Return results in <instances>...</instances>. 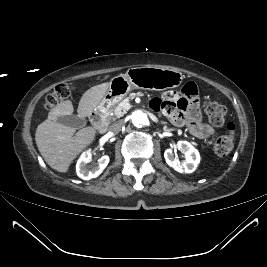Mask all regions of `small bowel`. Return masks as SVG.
<instances>
[{
	"label": "small bowel",
	"instance_id": "c3829d8e",
	"mask_svg": "<svg viewBox=\"0 0 267 267\" xmlns=\"http://www.w3.org/2000/svg\"><path fill=\"white\" fill-rule=\"evenodd\" d=\"M155 111L162 112L172 123L186 126L189 132L200 139H206L214 129L201 121L198 89L195 83L189 82L180 91H166L151 101Z\"/></svg>",
	"mask_w": 267,
	"mask_h": 267
}]
</instances>
